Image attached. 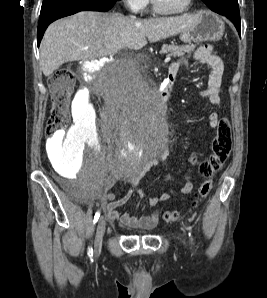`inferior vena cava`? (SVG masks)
I'll return each instance as SVG.
<instances>
[{"instance_id":"obj_1","label":"inferior vena cava","mask_w":267,"mask_h":298,"mask_svg":"<svg viewBox=\"0 0 267 298\" xmlns=\"http://www.w3.org/2000/svg\"><path fill=\"white\" fill-rule=\"evenodd\" d=\"M131 18H134L133 16H131ZM123 67H124V70H129L131 68V63L130 61H124L123 62Z\"/></svg>"}]
</instances>
